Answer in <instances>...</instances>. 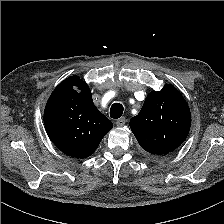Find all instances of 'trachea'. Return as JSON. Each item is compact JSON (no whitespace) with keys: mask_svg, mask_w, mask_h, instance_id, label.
Instances as JSON below:
<instances>
[{"mask_svg":"<svg viewBox=\"0 0 224 224\" xmlns=\"http://www.w3.org/2000/svg\"><path fill=\"white\" fill-rule=\"evenodd\" d=\"M123 105L120 103H114L110 108V117L113 119H118L123 114Z\"/></svg>","mask_w":224,"mask_h":224,"instance_id":"obj_1","label":"trachea"}]
</instances>
